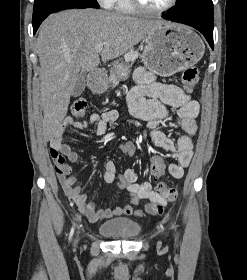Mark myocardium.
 <instances>
[{"mask_svg": "<svg viewBox=\"0 0 247 280\" xmlns=\"http://www.w3.org/2000/svg\"><path fill=\"white\" fill-rule=\"evenodd\" d=\"M131 5L134 7V9L145 13V14H150V15H161L164 14L168 11H170L171 9H173L178 0H170L169 3L162 7V8H157V9H153V8H148L145 5H143V3L140 0H129Z\"/></svg>", "mask_w": 247, "mask_h": 280, "instance_id": "1", "label": "myocardium"}]
</instances>
